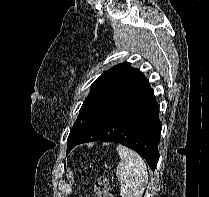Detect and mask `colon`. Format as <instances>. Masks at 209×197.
<instances>
[{
  "instance_id": "colon-1",
  "label": "colon",
  "mask_w": 209,
  "mask_h": 197,
  "mask_svg": "<svg viewBox=\"0 0 209 197\" xmlns=\"http://www.w3.org/2000/svg\"><path fill=\"white\" fill-rule=\"evenodd\" d=\"M95 195L96 197H112L110 183L107 178L101 176L96 179Z\"/></svg>"
}]
</instances>
